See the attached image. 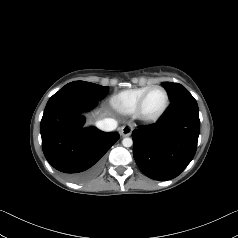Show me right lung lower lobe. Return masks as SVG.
Wrapping results in <instances>:
<instances>
[{
  "instance_id": "1",
  "label": "right lung lower lobe",
  "mask_w": 238,
  "mask_h": 238,
  "mask_svg": "<svg viewBox=\"0 0 238 238\" xmlns=\"http://www.w3.org/2000/svg\"><path fill=\"white\" fill-rule=\"evenodd\" d=\"M98 100L76 88H66L55 93L44 110L40 127L43 153L73 182L93 178L101 168L102 156L119 139L117 132L83 127V113Z\"/></svg>"
}]
</instances>
